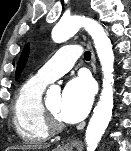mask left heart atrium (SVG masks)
I'll list each match as a JSON object with an SVG mask.
<instances>
[{
	"instance_id": "obj_1",
	"label": "left heart atrium",
	"mask_w": 131,
	"mask_h": 151,
	"mask_svg": "<svg viewBox=\"0 0 131 151\" xmlns=\"http://www.w3.org/2000/svg\"><path fill=\"white\" fill-rule=\"evenodd\" d=\"M94 98V85L87 76L71 79L62 94L59 116L67 123L81 121L88 114Z\"/></svg>"
}]
</instances>
